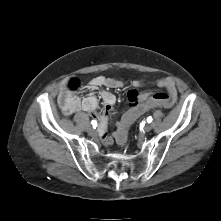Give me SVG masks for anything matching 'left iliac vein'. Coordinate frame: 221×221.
<instances>
[{"label": "left iliac vein", "mask_w": 221, "mask_h": 221, "mask_svg": "<svg viewBox=\"0 0 221 221\" xmlns=\"http://www.w3.org/2000/svg\"><path fill=\"white\" fill-rule=\"evenodd\" d=\"M152 129V125L151 124H147L145 127H144V131L145 132H150Z\"/></svg>", "instance_id": "left-iliac-vein-1"}]
</instances>
